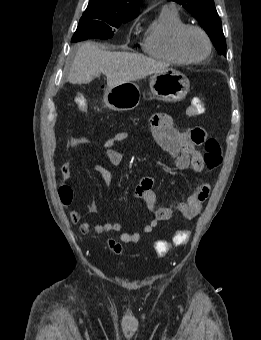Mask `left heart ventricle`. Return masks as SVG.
<instances>
[{"label":"left heart ventricle","mask_w":261,"mask_h":340,"mask_svg":"<svg viewBox=\"0 0 261 340\" xmlns=\"http://www.w3.org/2000/svg\"><path fill=\"white\" fill-rule=\"evenodd\" d=\"M183 50L192 59H200L207 52V43L203 35L196 31H188L183 38Z\"/></svg>","instance_id":"left-heart-ventricle-1"}]
</instances>
